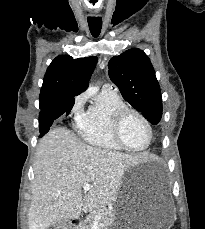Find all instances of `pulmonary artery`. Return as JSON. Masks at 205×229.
Wrapping results in <instances>:
<instances>
[{"label": "pulmonary artery", "mask_w": 205, "mask_h": 229, "mask_svg": "<svg viewBox=\"0 0 205 229\" xmlns=\"http://www.w3.org/2000/svg\"><path fill=\"white\" fill-rule=\"evenodd\" d=\"M104 88H108V89L117 91L116 87H115L114 85H112V84H106V85L104 86Z\"/></svg>", "instance_id": "obj_1"}]
</instances>
